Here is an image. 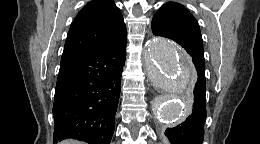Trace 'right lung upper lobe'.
Here are the masks:
<instances>
[{"label":"right lung upper lobe","instance_id":"cb5924a9","mask_svg":"<svg viewBox=\"0 0 260 144\" xmlns=\"http://www.w3.org/2000/svg\"><path fill=\"white\" fill-rule=\"evenodd\" d=\"M126 41V25L114 1L93 0L79 11L71 24L62 59Z\"/></svg>","mask_w":260,"mask_h":144}]
</instances>
